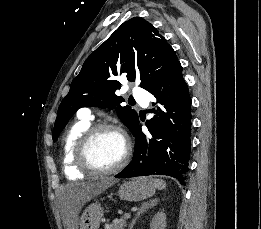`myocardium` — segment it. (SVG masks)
I'll list each match as a JSON object with an SVG mask.
<instances>
[{
	"label": "myocardium",
	"mask_w": 261,
	"mask_h": 229,
	"mask_svg": "<svg viewBox=\"0 0 261 229\" xmlns=\"http://www.w3.org/2000/svg\"><path fill=\"white\" fill-rule=\"evenodd\" d=\"M103 131H112L119 134L122 137L125 144V152L121 161L117 165L107 169L97 166L92 161L90 155L91 147L95 138L99 133ZM75 151L77 165L83 171L99 176L111 175L122 170L128 164L131 156L130 142L124 130H122L120 127L114 124L108 123L98 124L95 126H91L89 129H87L79 139Z\"/></svg>",
	"instance_id": "obj_1"
}]
</instances>
